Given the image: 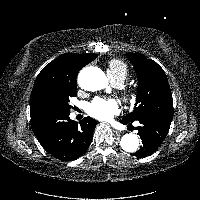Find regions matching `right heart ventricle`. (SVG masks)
Returning <instances> with one entry per match:
<instances>
[{
	"mask_svg": "<svg viewBox=\"0 0 200 200\" xmlns=\"http://www.w3.org/2000/svg\"><path fill=\"white\" fill-rule=\"evenodd\" d=\"M107 73L115 85H122L129 75L127 64L121 59H111L107 63Z\"/></svg>",
	"mask_w": 200,
	"mask_h": 200,
	"instance_id": "e07e8e85",
	"label": "right heart ventricle"
}]
</instances>
